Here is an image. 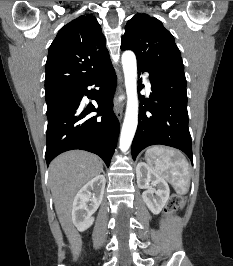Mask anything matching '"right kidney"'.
<instances>
[{"label":"right kidney","instance_id":"1","mask_svg":"<svg viewBox=\"0 0 233 266\" xmlns=\"http://www.w3.org/2000/svg\"><path fill=\"white\" fill-rule=\"evenodd\" d=\"M105 184V177L97 175L76 194L72 207V221L79 231H85L93 224V214L102 202Z\"/></svg>","mask_w":233,"mask_h":266}]
</instances>
